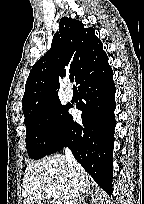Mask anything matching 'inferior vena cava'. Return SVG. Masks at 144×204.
<instances>
[{
  "instance_id": "602c4592",
  "label": "inferior vena cava",
  "mask_w": 144,
  "mask_h": 204,
  "mask_svg": "<svg viewBox=\"0 0 144 204\" xmlns=\"http://www.w3.org/2000/svg\"><path fill=\"white\" fill-rule=\"evenodd\" d=\"M65 157L66 161L68 162V174L72 189L65 197L64 204H77L80 197V193L83 191L82 185L76 177V171L78 170L79 165L76 162L69 148H65Z\"/></svg>"
}]
</instances>
